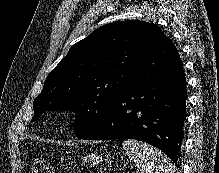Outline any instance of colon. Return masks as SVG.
Wrapping results in <instances>:
<instances>
[{
    "label": "colon",
    "mask_w": 219,
    "mask_h": 173,
    "mask_svg": "<svg viewBox=\"0 0 219 173\" xmlns=\"http://www.w3.org/2000/svg\"><path fill=\"white\" fill-rule=\"evenodd\" d=\"M30 173H51L50 163L44 159H37L33 162Z\"/></svg>",
    "instance_id": "5ec220e1"
}]
</instances>
